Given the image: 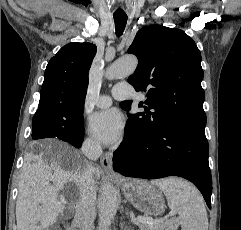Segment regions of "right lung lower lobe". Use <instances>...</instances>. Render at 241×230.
Segmentation results:
<instances>
[{"instance_id": "obj_1", "label": "right lung lower lobe", "mask_w": 241, "mask_h": 230, "mask_svg": "<svg viewBox=\"0 0 241 230\" xmlns=\"http://www.w3.org/2000/svg\"><path fill=\"white\" fill-rule=\"evenodd\" d=\"M35 115H39V114H35ZM52 135H56V133H53ZM67 142V141H66ZM82 142L83 141H81V142H74V141H68V143H70L71 145H73L74 147H78V148H80L81 147V145H82Z\"/></svg>"}]
</instances>
